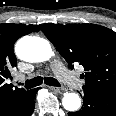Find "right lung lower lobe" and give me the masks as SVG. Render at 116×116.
Segmentation results:
<instances>
[{
    "label": "right lung lower lobe",
    "instance_id": "1",
    "mask_svg": "<svg viewBox=\"0 0 116 116\" xmlns=\"http://www.w3.org/2000/svg\"><path fill=\"white\" fill-rule=\"evenodd\" d=\"M37 89L28 91L5 116H30L35 108Z\"/></svg>",
    "mask_w": 116,
    "mask_h": 116
}]
</instances>
